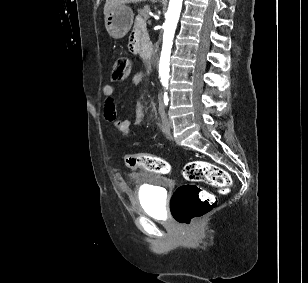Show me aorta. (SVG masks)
Masks as SVG:
<instances>
[{
  "mask_svg": "<svg viewBox=\"0 0 308 283\" xmlns=\"http://www.w3.org/2000/svg\"><path fill=\"white\" fill-rule=\"evenodd\" d=\"M183 0H170L164 24L163 48L159 63V76L163 86L168 85L170 53L175 29L179 20Z\"/></svg>",
  "mask_w": 308,
  "mask_h": 283,
  "instance_id": "aorta-1",
  "label": "aorta"
}]
</instances>
